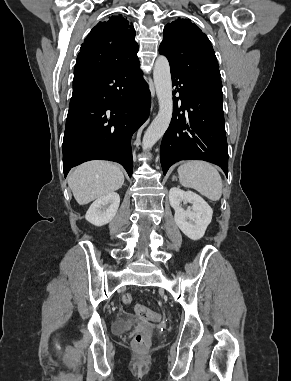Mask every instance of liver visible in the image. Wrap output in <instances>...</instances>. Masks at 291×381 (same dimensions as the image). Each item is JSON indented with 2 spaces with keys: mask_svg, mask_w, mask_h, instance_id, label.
Masks as SVG:
<instances>
[{
  "mask_svg": "<svg viewBox=\"0 0 291 381\" xmlns=\"http://www.w3.org/2000/svg\"><path fill=\"white\" fill-rule=\"evenodd\" d=\"M124 175L120 167L107 161H90L76 167L68 185L80 205H85L120 189Z\"/></svg>",
  "mask_w": 291,
  "mask_h": 381,
  "instance_id": "obj_1",
  "label": "liver"
}]
</instances>
